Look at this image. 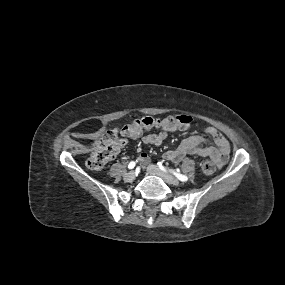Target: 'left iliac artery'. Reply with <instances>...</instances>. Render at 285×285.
Returning a JSON list of instances; mask_svg holds the SVG:
<instances>
[{
	"label": "left iliac artery",
	"instance_id": "44dca946",
	"mask_svg": "<svg viewBox=\"0 0 285 285\" xmlns=\"http://www.w3.org/2000/svg\"><path fill=\"white\" fill-rule=\"evenodd\" d=\"M157 164H158V166H159L162 170H165V168L162 166V163H161V162H158ZM170 171H171V173H173L180 181H182V182L187 181V177H186L185 175H182V174H180V173H178V172H175V171H173V170H170Z\"/></svg>",
	"mask_w": 285,
	"mask_h": 285
}]
</instances>
